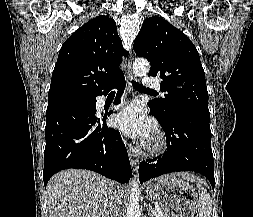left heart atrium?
Segmentation results:
<instances>
[{
    "label": "left heart atrium",
    "instance_id": "39dd6f15",
    "mask_svg": "<svg viewBox=\"0 0 253 217\" xmlns=\"http://www.w3.org/2000/svg\"><path fill=\"white\" fill-rule=\"evenodd\" d=\"M115 125L125 134L135 138L149 137L155 127L135 104L125 107L116 115Z\"/></svg>",
    "mask_w": 253,
    "mask_h": 217
}]
</instances>
